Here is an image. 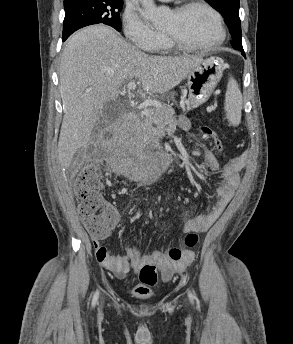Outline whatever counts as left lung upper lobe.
Wrapping results in <instances>:
<instances>
[{
    "instance_id": "5c2ea615",
    "label": "left lung upper lobe",
    "mask_w": 293,
    "mask_h": 344,
    "mask_svg": "<svg viewBox=\"0 0 293 344\" xmlns=\"http://www.w3.org/2000/svg\"><path fill=\"white\" fill-rule=\"evenodd\" d=\"M224 17L232 36V45L236 50L244 51L241 41L239 18V0H205Z\"/></svg>"
}]
</instances>
